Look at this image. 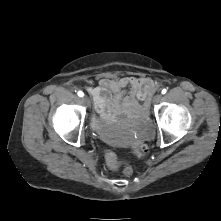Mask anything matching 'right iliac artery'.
<instances>
[{
	"mask_svg": "<svg viewBox=\"0 0 221 221\" xmlns=\"http://www.w3.org/2000/svg\"><path fill=\"white\" fill-rule=\"evenodd\" d=\"M77 94H78L79 97H83L84 96V93L82 91H79Z\"/></svg>",
	"mask_w": 221,
	"mask_h": 221,
	"instance_id": "right-iliac-artery-1",
	"label": "right iliac artery"
}]
</instances>
